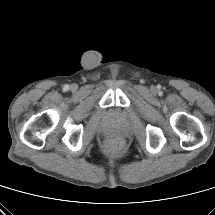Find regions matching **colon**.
<instances>
[{
  "instance_id": "5ec220e1",
  "label": "colon",
  "mask_w": 215,
  "mask_h": 215,
  "mask_svg": "<svg viewBox=\"0 0 215 215\" xmlns=\"http://www.w3.org/2000/svg\"><path fill=\"white\" fill-rule=\"evenodd\" d=\"M107 147L110 150L118 149L120 147V142L118 140H110L107 143Z\"/></svg>"
}]
</instances>
